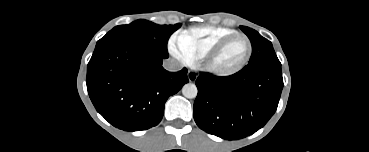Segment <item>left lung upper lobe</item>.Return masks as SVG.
Listing matches in <instances>:
<instances>
[{
    "label": "left lung upper lobe",
    "instance_id": "left-lung-upper-lobe-1",
    "mask_svg": "<svg viewBox=\"0 0 369 152\" xmlns=\"http://www.w3.org/2000/svg\"><path fill=\"white\" fill-rule=\"evenodd\" d=\"M240 29L250 39L253 49L250 61L244 68L264 65L281 66L270 41L263 38L257 31L251 28L240 26Z\"/></svg>",
    "mask_w": 369,
    "mask_h": 152
}]
</instances>
